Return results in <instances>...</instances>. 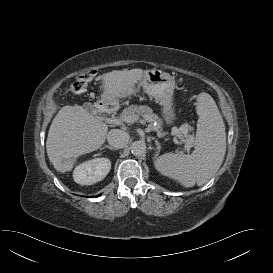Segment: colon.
<instances>
[{"instance_id": "1", "label": "colon", "mask_w": 273, "mask_h": 273, "mask_svg": "<svg viewBox=\"0 0 273 273\" xmlns=\"http://www.w3.org/2000/svg\"><path fill=\"white\" fill-rule=\"evenodd\" d=\"M94 77V72H85L72 83L71 91L74 94H83L86 91L88 84L93 80Z\"/></svg>"}]
</instances>
